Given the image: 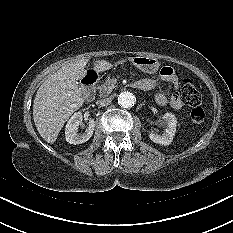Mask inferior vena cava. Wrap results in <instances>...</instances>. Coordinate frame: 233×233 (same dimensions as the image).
<instances>
[{
	"mask_svg": "<svg viewBox=\"0 0 233 233\" xmlns=\"http://www.w3.org/2000/svg\"><path fill=\"white\" fill-rule=\"evenodd\" d=\"M112 98L111 97H103L101 100L97 101L98 104L105 106L111 103Z\"/></svg>",
	"mask_w": 233,
	"mask_h": 233,
	"instance_id": "602c4592",
	"label": "inferior vena cava"
}]
</instances>
